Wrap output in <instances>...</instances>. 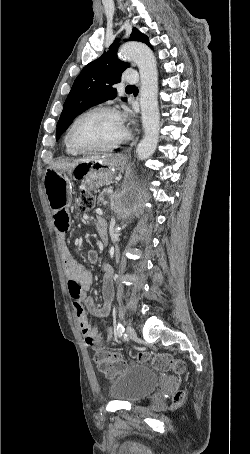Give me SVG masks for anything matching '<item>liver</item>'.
I'll return each mask as SVG.
<instances>
[{
	"label": "liver",
	"mask_w": 250,
	"mask_h": 454,
	"mask_svg": "<svg viewBox=\"0 0 250 454\" xmlns=\"http://www.w3.org/2000/svg\"><path fill=\"white\" fill-rule=\"evenodd\" d=\"M105 156H110V155H105ZM99 157L97 156H91V157H84V158H80V159H76L73 161V163H69L67 164L68 166H74L80 162H89V161H94L96 159H98Z\"/></svg>",
	"instance_id": "6515ba94"
}]
</instances>
